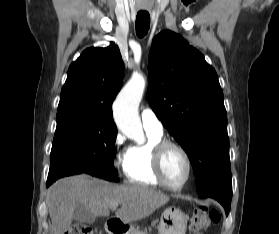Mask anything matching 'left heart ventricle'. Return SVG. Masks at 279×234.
Listing matches in <instances>:
<instances>
[{
  "label": "left heart ventricle",
  "mask_w": 279,
  "mask_h": 234,
  "mask_svg": "<svg viewBox=\"0 0 279 234\" xmlns=\"http://www.w3.org/2000/svg\"><path fill=\"white\" fill-rule=\"evenodd\" d=\"M166 179L175 185L183 182L187 174V165L182 154L174 149L167 150L163 161Z\"/></svg>",
  "instance_id": "obj_1"
}]
</instances>
